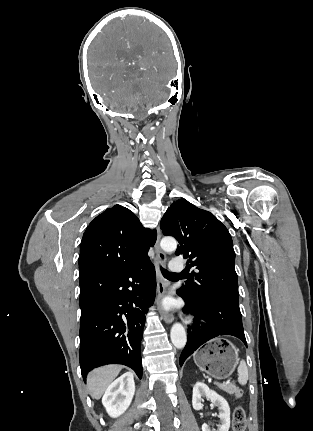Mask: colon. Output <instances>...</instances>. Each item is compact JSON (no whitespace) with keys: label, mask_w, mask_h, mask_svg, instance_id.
Here are the masks:
<instances>
[{"label":"colon","mask_w":313,"mask_h":431,"mask_svg":"<svg viewBox=\"0 0 313 431\" xmlns=\"http://www.w3.org/2000/svg\"><path fill=\"white\" fill-rule=\"evenodd\" d=\"M232 428L233 431L246 430V413L241 406L236 407L233 412Z\"/></svg>","instance_id":"5ec220e1"}]
</instances>
